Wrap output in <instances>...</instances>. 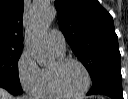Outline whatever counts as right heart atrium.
<instances>
[{"label":"right heart atrium","mask_w":128,"mask_h":99,"mask_svg":"<svg viewBox=\"0 0 128 99\" xmlns=\"http://www.w3.org/2000/svg\"><path fill=\"white\" fill-rule=\"evenodd\" d=\"M17 73L21 87L35 93L42 80V69L28 50H24L18 59Z\"/></svg>","instance_id":"1"}]
</instances>
